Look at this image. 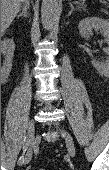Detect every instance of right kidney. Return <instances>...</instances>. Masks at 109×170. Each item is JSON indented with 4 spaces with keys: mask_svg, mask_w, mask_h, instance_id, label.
Listing matches in <instances>:
<instances>
[{
    "mask_svg": "<svg viewBox=\"0 0 109 170\" xmlns=\"http://www.w3.org/2000/svg\"><path fill=\"white\" fill-rule=\"evenodd\" d=\"M1 50L5 56V61L1 67V76L3 80H6L12 68V60L15 50L14 41L12 39L3 40L1 42Z\"/></svg>",
    "mask_w": 109,
    "mask_h": 170,
    "instance_id": "1",
    "label": "right kidney"
}]
</instances>
